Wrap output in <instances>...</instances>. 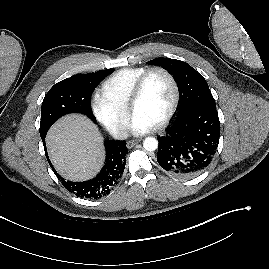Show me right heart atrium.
<instances>
[{"instance_id": "right-heart-atrium-1", "label": "right heart atrium", "mask_w": 269, "mask_h": 269, "mask_svg": "<svg viewBox=\"0 0 269 269\" xmlns=\"http://www.w3.org/2000/svg\"><path fill=\"white\" fill-rule=\"evenodd\" d=\"M91 108L97 120L113 135L122 137L126 134L129 115L123 109L111 102L101 92H96L91 101Z\"/></svg>"}]
</instances>
